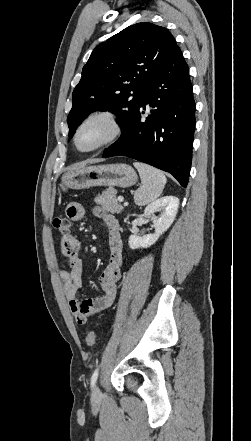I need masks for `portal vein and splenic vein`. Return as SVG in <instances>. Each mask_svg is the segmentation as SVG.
Wrapping results in <instances>:
<instances>
[{"label": "portal vein and splenic vein", "mask_w": 251, "mask_h": 441, "mask_svg": "<svg viewBox=\"0 0 251 441\" xmlns=\"http://www.w3.org/2000/svg\"><path fill=\"white\" fill-rule=\"evenodd\" d=\"M119 202H123L124 201V198L122 197V196H118V199H117Z\"/></svg>", "instance_id": "obj_1"}]
</instances>
